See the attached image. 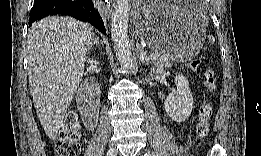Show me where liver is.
Returning a JSON list of instances; mask_svg holds the SVG:
<instances>
[{
    "instance_id": "1",
    "label": "liver",
    "mask_w": 261,
    "mask_h": 156,
    "mask_svg": "<svg viewBox=\"0 0 261 156\" xmlns=\"http://www.w3.org/2000/svg\"><path fill=\"white\" fill-rule=\"evenodd\" d=\"M93 27L71 17L52 16L34 23L28 33L29 86L37 115L55 139L84 73Z\"/></svg>"
}]
</instances>
